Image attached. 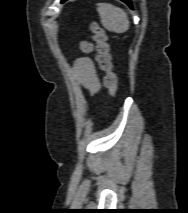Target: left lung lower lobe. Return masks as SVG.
<instances>
[{
    "label": "left lung lower lobe",
    "mask_w": 188,
    "mask_h": 213,
    "mask_svg": "<svg viewBox=\"0 0 188 213\" xmlns=\"http://www.w3.org/2000/svg\"><path fill=\"white\" fill-rule=\"evenodd\" d=\"M66 0H62V2H64ZM123 2H125L128 6L132 7V4H131V0H121Z\"/></svg>",
    "instance_id": "obj_1"
}]
</instances>
